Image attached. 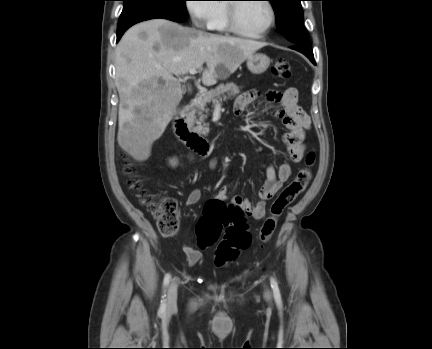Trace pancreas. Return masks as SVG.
Wrapping results in <instances>:
<instances>
[{
  "label": "pancreas",
  "mask_w": 432,
  "mask_h": 349,
  "mask_svg": "<svg viewBox=\"0 0 432 349\" xmlns=\"http://www.w3.org/2000/svg\"><path fill=\"white\" fill-rule=\"evenodd\" d=\"M240 93L239 87L234 83L220 84L215 89H212L205 93H200L194 100L195 112L198 114V119H196V130L206 135L209 133V128L204 124L205 119L209 113V108H207L208 103L215 104L217 102H222L228 98H233Z\"/></svg>",
  "instance_id": "pancreas-1"
}]
</instances>
